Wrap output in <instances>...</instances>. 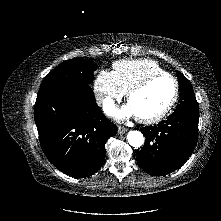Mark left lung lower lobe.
Returning <instances> with one entry per match:
<instances>
[{
	"mask_svg": "<svg viewBox=\"0 0 221 221\" xmlns=\"http://www.w3.org/2000/svg\"><path fill=\"white\" fill-rule=\"evenodd\" d=\"M199 109H176L166 120L141 129L145 136L137 154L138 165L153 176L181 167L191 156L198 138Z\"/></svg>",
	"mask_w": 221,
	"mask_h": 221,
	"instance_id": "0a47b994",
	"label": "left lung lower lobe"
}]
</instances>
